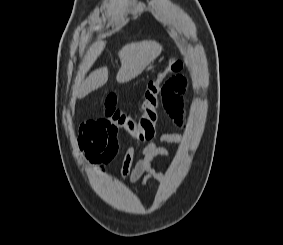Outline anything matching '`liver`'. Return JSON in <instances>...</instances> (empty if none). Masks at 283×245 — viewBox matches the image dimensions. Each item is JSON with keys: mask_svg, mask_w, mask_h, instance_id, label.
Here are the masks:
<instances>
[{"mask_svg": "<svg viewBox=\"0 0 283 245\" xmlns=\"http://www.w3.org/2000/svg\"><path fill=\"white\" fill-rule=\"evenodd\" d=\"M162 46L156 41L132 42L122 47L118 52L121 67L116 79L119 83L128 82L153 62L161 53ZM108 80V68L102 67L94 70L85 80L79 90V97L102 87Z\"/></svg>", "mask_w": 283, "mask_h": 245, "instance_id": "liver-1", "label": "liver"}]
</instances>
